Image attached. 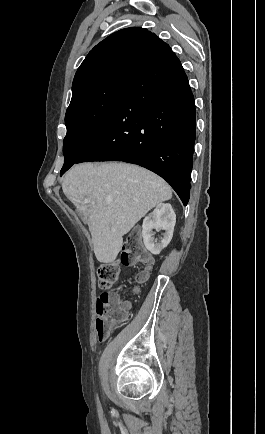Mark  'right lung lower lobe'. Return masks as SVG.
Here are the masks:
<instances>
[{
	"label": "right lung lower lobe",
	"instance_id": "98d812e1",
	"mask_svg": "<svg viewBox=\"0 0 265 434\" xmlns=\"http://www.w3.org/2000/svg\"><path fill=\"white\" fill-rule=\"evenodd\" d=\"M195 128L194 96L170 48L135 75L104 131L76 163L138 164L164 178L186 206Z\"/></svg>",
	"mask_w": 265,
	"mask_h": 434
}]
</instances>
